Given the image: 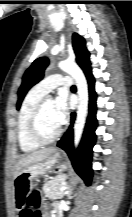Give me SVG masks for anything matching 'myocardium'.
Instances as JSON below:
<instances>
[{
	"mask_svg": "<svg viewBox=\"0 0 132 217\" xmlns=\"http://www.w3.org/2000/svg\"><path fill=\"white\" fill-rule=\"evenodd\" d=\"M51 100L52 99L50 97H43L35 106L29 119V135L31 139L39 145H48L55 142L62 133V128L59 127L54 135L45 137L40 130V118L42 111L47 102Z\"/></svg>",
	"mask_w": 132,
	"mask_h": 217,
	"instance_id": "1",
	"label": "myocardium"
}]
</instances>
